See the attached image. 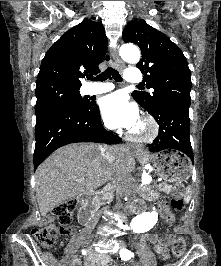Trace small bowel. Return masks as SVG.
I'll list each match as a JSON object with an SVG mask.
<instances>
[{
    "label": "small bowel",
    "instance_id": "small-bowel-1",
    "mask_svg": "<svg viewBox=\"0 0 221 266\" xmlns=\"http://www.w3.org/2000/svg\"><path fill=\"white\" fill-rule=\"evenodd\" d=\"M182 230L181 227L176 228V232H180ZM173 237V235H171ZM146 240L154 243L155 251L162 256L163 258H168L169 250L166 244H161L159 239L155 234H147L146 237L143 238V242ZM86 266H114L112 261L108 255H90L86 260Z\"/></svg>",
    "mask_w": 221,
    "mask_h": 266
}]
</instances>
